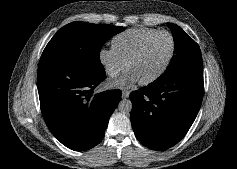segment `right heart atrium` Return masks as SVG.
<instances>
[{
	"instance_id": "right-heart-atrium-1",
	"label": "right heart atrium",
	"mask_w": 237,
	"mask_h": 169,
	"mask_svg": "<svg viewBox=\"0 0 237 169\" xmlns=\"http://www.w3.org/2000/svg\"><path fill=\"white\" fill-rule=\"evenodd\" d=\"M98 58L105 72L111 77L117 76L126 66V62L113 48H101Z\"/></svg>"
}]
</instances>
